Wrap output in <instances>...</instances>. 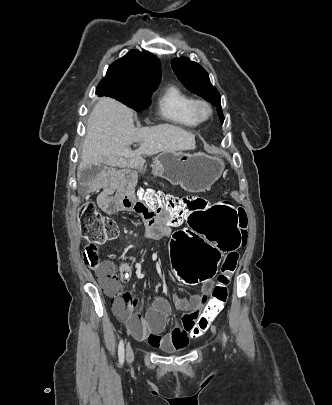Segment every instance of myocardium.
<instances>
[{"mask_svg": "<svg viewBox=\"0 0 332 405\" xmlns=\"http://www.w3.org/2000/svg\"><path fill=\"white\" fill-rule=\"evenodd\" d=\"M192 113L199 121H206L212 115V106L205 99H194Z\"/></svg>", "mask_w": 332, "mask_h": 405, "instance_id": "1", "label": "myocardium"}]
</instances>
